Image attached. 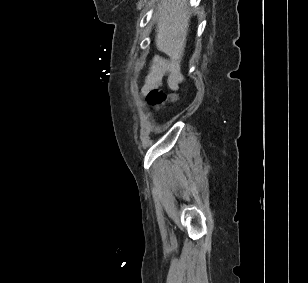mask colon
I'll use <instances>...</instances> for the list:
<instances>
[{"label":"colon","mask_w":308,"mask_h":283,"mask_svg":"<svg viewBox=\"0 0 308 283\" xmlns=\"http://www.w3.org/2000/svg\"><path fill=\"white\" fill-rule=\"evenodd\" d=\"M175 99V95L166 94L158 89H153L147 94V101L154 107H160Z\"/></svg>","instance_id":"obj_1"}]
</instances>
